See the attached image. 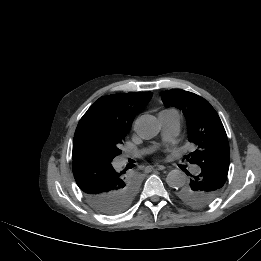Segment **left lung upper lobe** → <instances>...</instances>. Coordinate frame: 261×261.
Here are the masks:
<instances>
[{"label": "left lung upper lobe", "instance_id": "1", "mask_svg": "<svg viewBox=\"0 0 261 261\" xmlns=\"http://www.w3.org/2000/svg\"><path fill=\"white\" fill-rule=\"evenodd\" d=\"M165 105L183 111L188 124V140L196 150L189 162L202 165L205 162L229 165L230 150L223 124L214 108L204 98L182 89L166 90L162 94ZM177 196L186 204L200 208L210 202L201 192L193 191L188 184L179 188Z\"/></svg>", "mask_w": 261, "mask_h": 261}]
</instances>
